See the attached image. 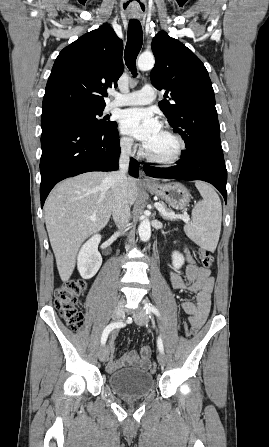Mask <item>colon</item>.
<instances>
[{"instance_id": "5ec220e1", "label": "colon", "mask_w": 269, "mask_h": 447, "mask_svg": "<svg viewBox=\"0 0 269 447\" xmlns=\"http://www.w3.org/2000/svg\"><path fill=\"white\" fill-rule=\"evenodd\" d=\"M196 257L205 268H210L214 264L213 255L204 249H198L196 251ZM85 286L86 283L84 280L77 279L57 288L55 292L56 309L59 311L63 321L74 330H81L85 324L83 313L79 309V297L84 291ZM179 326L186 332L184 338L190 339L192 336L191 332L187 330L189 328L187 321H180ZM142 352L148 354L149 349L144 348ZM145 369L150 373H155L157 365L154 362H150L146 365Z\"/></svg>"}]
</instances>
